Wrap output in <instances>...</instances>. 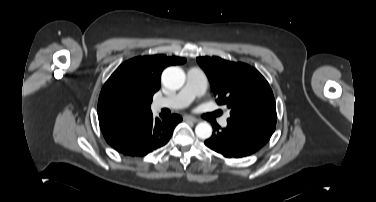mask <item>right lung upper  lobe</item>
Here are the masks:
<instances>
[{"instance_id": "cb5924a9", "label": "right lung upper lobe", "mask_w": 376, "mask_h": 202, "mask_svg": "<svg viewBox=\"0 0 376 202\" xmlns=\"http://www.w3.org/2000/svg\"><path fill=\"white\" fill-rule=\"evenodd\" d=\"M181 57L142 56L121 64L104 84L98 100V118L102 131L151 113L152 97L160 88L162 71L183 64Z\"/></svg>"}]
</instances>
